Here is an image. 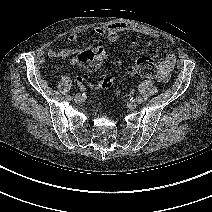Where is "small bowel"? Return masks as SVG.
I'll return each instance as SVG.
<instances>
[{
    "label": "small bowel",
    "instance_id": "small-bowel-1",
    "mask_svg": "<svg viewBox=\"0 0 212 212\" xmlns=\"http://www.w3.org/2000/svg\"><path fill=\"white\" fill-rule=\"evenodd\" d=\"M124 31H132L145 36H148L152 39L161 40L162 37L157 32L138 27L131 23L127 22H114L105 25H99L94 28V32L98 35L105 36L109 41L115 42L118 40L120 33ZM79 39L78 34L73 33L70 34L68 40L70 42H76ZM79 49L76 48H62V49H50L48 51V56L52 58H63L69 57L77 54ZM175 63V56L173 54L166 55L161 62V75L159 80L161 82H166L169 79L170 71L172 70ZM77 84L81 87V89H86L87 87H91L92 83L90 81V77L86 74H81L76 77Z\"/></svg>",
    "mask_w": 212,
    "mask_h": 212
}]
</instances>
